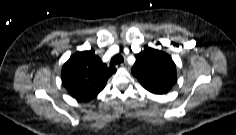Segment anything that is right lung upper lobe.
<instances>
[{
  "mask_svg": "<svg viewBox=\"0 0 236 135\" xmlns=\"http://www.w3.org/2000/svg\"><path fill=\"white\" fill-rule=\"evenodd\" d=\"M116 72L95 55L94 50L76 52L62 68V82L73 98L88 101L101 92Z\"/></svg>",
  "mask_w": 236,
  "mask_h": 135,
  "instance_id": "cb5924a9",
  "label": "right lung upper lobe"
}]
</instances>
